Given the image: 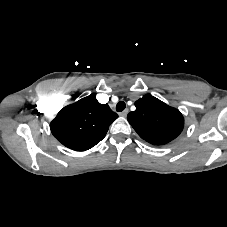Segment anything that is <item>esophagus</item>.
Returning <instances> with one entry per match:
<instances>
[{"instance_id": "34e87169", "label": "esophagus", "mask_w": 227, "mask_h": 227, "mask_svg": "<svg viewBox=\"0 0 227 227\" xmlns=\"http://www.w3.org/2000/svg\"><path fill=\"white\" fill-rule=\"evenodd\" d=\"M128 112H129L128 109H125L124 111L120 112L119 115H120L121 117H126L127 114H128Z\"/></svg>"}]
</instances>
